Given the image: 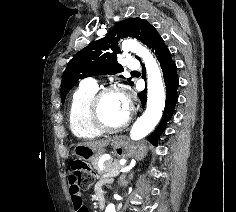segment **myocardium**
Instances as JSON below:
<instances>
[{
    "mask_svg": "<svg viewBox=\"0 0 236 212\" xmlns=\"http://www.w3.org/2000/svg\"><path fill=\"white\" fill-rule=\"evenodd\" d=\"M111 93H120V88L110 85L98 89L93 95L90 102V118L93 125L102 133H117L124 130L131 122V112L127 113L126 118L117 126L107 125L101 115V102L105 96Z\"/></svg>",
    "mask_w": 236,
    "mask_h": 212,
    "instance_id": "myocardium-1",
    "label": "myocardium"
}]
</instances>
